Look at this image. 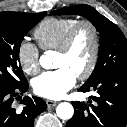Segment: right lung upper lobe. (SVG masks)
<instances>
[{
	"label": "right lung upper lobe",
	"mask_w": 127,
	"mask_h": 127,
	"mask_svg": "<svg viewBox=\"0 0 127 127\" xmlns=\"http://www.w3.org/2000/svg\"><path fill=\"white\" fill-rule=\"evenodd\" d=\"M7 13H11V14H21L22 12H7Z\"/></svg>",
	"instance_id": "obj_1"
}]
</instances>
